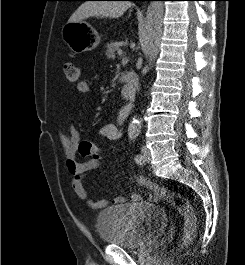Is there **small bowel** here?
Returning <instances> with one entry per match:
<instances>
[{"mask_svg": "<svg viewBox=\"0 0 245 265\" xmlns=\"http://www.w3.org/2000/svg\"><path fill=\"white\" fill-rule=\"evenodd\" d=\"M76 90L79 93L85 94L90 91V86L86 81H79L76 85ZM98 134L108 140H118L122 135L120 128L113 123H106L102 125L98 130ZM59 139L66 157L67 171L72 176L71 186L74 193L93 209H101L106 207L109 203L107 199H91L84 186V176L86 173L97 169L99 167V161L97 159H91L87 161L78 160L77 148L78 142L80 140V133L78 129L73 124H70L66 132L61 131L59 133ZM159 198L160 197L153 191L148 193L149 201L155 202L158 201ZM141 199V195L137 193L132 194L130 197L132 202H138ZM125 200L126 199L123 196H116L112 199L111 203L114 205H119L125 202Z\"/></svg>", "mask_w": 245, "mask_h": 265, "instance_id": "obj_1", "label": "small bowel"}]
</instances>
